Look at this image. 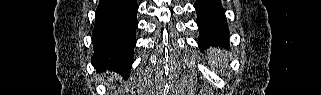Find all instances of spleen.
Here are the masks:
<instances>
[{
  "mask_svg": "<svg viewBox=\"0 0 321 95\" xmlns=\"http://www.w3.org/2000/svg\"><path fill=\"white\" fill-rule=\"evenodd\" d=\"M209 60L212 61L216 66L225 65L226 55L223 50L220 49H210L208 52Z\"/></svg>",
  "mask_w": 321,
  "mask_h": 95,
  "instance_id": "3e777b00",
  "label": "spleen"
}]
</instances>
